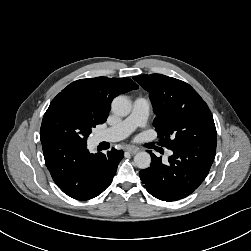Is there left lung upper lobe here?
Wrapping results in <instances>:
<instances>
[{"label": "left lung upper lobe", "mask_w": 251, "mask_h": 251, "mask_svg": "<svg viewBox=\"0 0 251 251\" xmlns=\"http://www.w3.org/2000/svg\"><path fill=\"white\" fill-rule=\"evenodd\" d=\"M133 79L149 92L159 145L168 149L200 145L216 147L213 116L189 84L161 74L140 75Z\"/></svg>", "instance_id": "5c2ea615"}]
</instances>
